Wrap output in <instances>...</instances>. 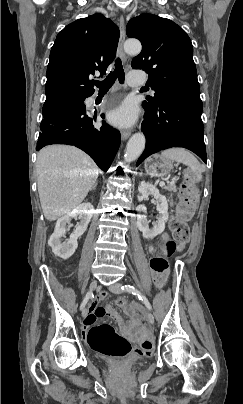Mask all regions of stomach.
<instances>
[{
    "mask_svg": "<svg viewBox=\"0 0 243 404\" xmlns=\"http://www.w3.org/2000/svg\"><path fill=\"white\" fill-rule=\"evenodd\" d=\"M144 168L151 177H164L171 172L172 162L161 155H153L145 161Z\"/></svg>",
    "mask_w": 243,
    "mask_h": 404,
    "instance_id": "stomach-1",
    "label": "stomach"
}]
</instances>
